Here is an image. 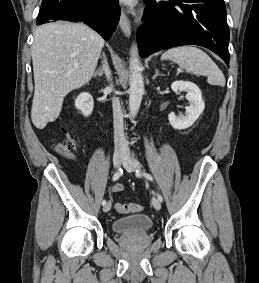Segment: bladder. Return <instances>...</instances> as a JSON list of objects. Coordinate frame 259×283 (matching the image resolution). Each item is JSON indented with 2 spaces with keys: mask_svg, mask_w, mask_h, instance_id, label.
Masks as SVG:
<instances>
[{
  "mask_svg": "<svg viewBox=\"0 0 259 283\" xmlns=\"http://www.w3.org/2000/svg\"><path fill=\"white\" fill-rule=\"evenodd\" d=\"M152 226L153 222L148 216L137 214L115 220L112 230L117 234H139L149 231Z\"/></svg>",
  "mask_w": 259,
  "mask_h": 283,
  "instance_id": "bladder-1",
  "label": "bladder"
}]
</instances>
